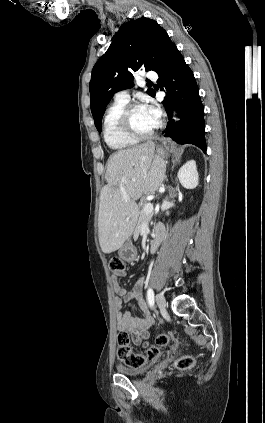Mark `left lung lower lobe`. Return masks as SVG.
<instances>
[{"mask_svg":"<svg viewBox=\"0 0 265 423\" xmlns=\"http://www.w3.org/2000/svg\"><path fill=\"white\" fill-rule=\"evenodd\" d=\"M157 73L159 75L157 83L161 85V90L167 91V96L162 104L170 121L164 131V136L182 144H194L206 152L204 108L197 83L193 72L171 41L165 48L164 60ZM172 105L175 106L180 118L178 122L172 120ZM176 128H178V132H176Z\"/></svg>","mask_w":265,"mask_h":423,"instance_id":"0a47b994","label":"left lung lower lobe"}]
</instances>
